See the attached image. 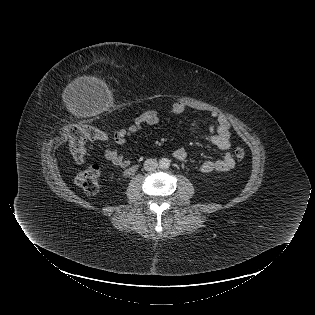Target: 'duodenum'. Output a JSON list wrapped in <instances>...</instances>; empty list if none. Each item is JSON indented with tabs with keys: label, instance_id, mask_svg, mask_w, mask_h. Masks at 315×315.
Here are the masks:
<instances>
[{
	"label": "duodenum",
	"instance_id": "1",
	"mask_svg": "<svg viewBox=\"0 0 315 315\" xmlns=\"http://www.w3.org/2000/svg\"><path fill=\"white\" fill-rule=\"evenodd\" d=\"M135 171V168L134 167H132V168H129V169H127L126 170V174H131L132 172H134Z\"/></svg>",
	"mask_w": 315,
	"mask_h": 315
}]
</instances>
